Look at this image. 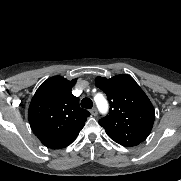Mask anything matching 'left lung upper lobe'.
I'll return each mask as SVG.
<instances>
[{"label":"left lung upper lobe","mask_w":181,"mask_h":181,"mask_svg":"<svg viewBox=\"0 0 181 181\" xmlns=\"http://www.w3.org/2000/svg\"><path fill=\"white\" fill-rule=\"evenodd\" d=\"M96 87L106 93L109 114L99 120L107 135L125 147L143 142L150 134L154 119V107L135 80L127 74L110 79L96 77Z\"/></svg>","instance_id":"left-lung-upper-lobe-1"}]
</instances>
